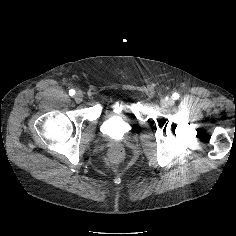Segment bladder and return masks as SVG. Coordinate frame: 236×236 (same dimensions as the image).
Here are the masks:
<instances>
[{"instance_id":"obj_1","label":"bladder","mask_w":236,"mask_h":236,"mask_svg":"<svg viewBox=\"0 0 236 236\" xmlns=\"http://www.w3.org/2000/svg\"><path fill=\"white\" fill-rule=\"evenodd\" d=\"M135 127V123L130 114L122 111L111 115L102 124V129L106 134L124 136L129 134Z\"/></svg>"}]
</instances>
